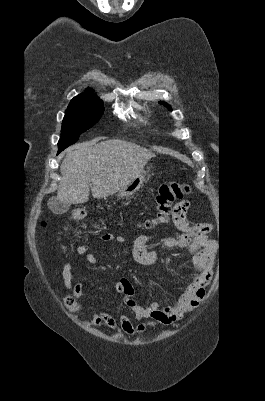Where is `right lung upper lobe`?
<instances>
[{
    "instance_id": "1",
    "label": "right lung upper lobe",
    "mask_w": 265,
    "mask_h": 401,
    "mask_svg": "<svg viewBox=\"0 0 265 401\" xmlns=\"http://www.w3.org/2000/svg\"><path fill=\"white\" fill-rule=\"evenodd\" d=\"M102 102L92 91H86L76 97H74L69 106L78 104H90V103H100Z\"/></svg>"
}]
</instances>
